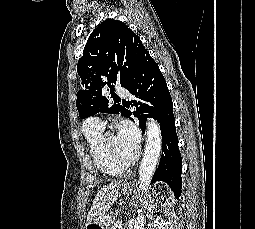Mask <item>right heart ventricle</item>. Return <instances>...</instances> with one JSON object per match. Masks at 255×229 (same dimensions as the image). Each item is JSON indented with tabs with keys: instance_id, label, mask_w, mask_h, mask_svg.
<instances>
[{
	"instance_id": "1",
	"label": "right heart ventricle",
	"mask_w": 255,
	"mask_h": 229,
	"mask_svg": "<svg viewBox=\"0 0 255 229\" xmlns=\"http://www.w3.org/2000/svg\"><path fill=\"white\" fill-rule=\"evenodd\" d=\"M104 128L89 127L86 120L83 124V133L87 143L90 158L95 167L107 176H118L124 170L114 165L102 152L101 138Z\"/></svg>"
}]
</instances>
